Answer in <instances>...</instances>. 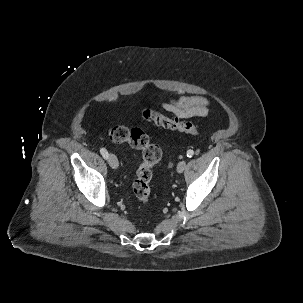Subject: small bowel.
I'll list each match as a JSON object with an SVG mask.
<instances>
[{
    "mask_svg": "<svg viewBox=\"0 0 303 303\" xmlns=\"http://www.w3.org/2000/svg\"><path fill=\"white\" fill-rule=\"evenodd\" d=\"M163 107L179 118L203 117L210 113L207 99L201 96H184L165 102Z\"/></svg>",
    "mask_w": 303,
    "mask_h": 303,
    "instance_id": "obj_1",
    "label": "small bowel"
}]
</instances>
